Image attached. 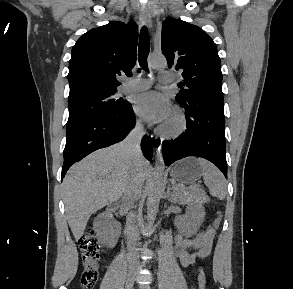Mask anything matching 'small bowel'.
I'll list each match as a JSON object with an SVG mask.
<instances>
[{"label":"small bowel","instance_id":"obj_1","mask_svg":"<svg viewBox=\"0 0 293 289\" xmlns=\"http://www.w3.org/2000/svg\"><path fill=\"white\" fill-rule=\"evenodd\" d=\"M215 230L207 226L193 238H186L180 233L174 236V257L182 267L193 266L198 260H205L211 253ZM204 273L202 267L197 268V274Z\"/></svg>","mask_w":293,"mask_h":289}]
</instances>
